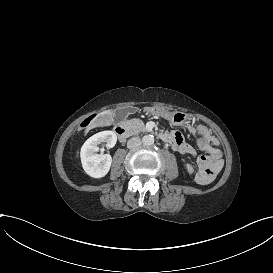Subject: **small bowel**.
I'll return each mask as SVG.
<instances>
[{"instance_id":"small-bowel-1","label":"small bowel","mask_w":273,"mask_h":273,"mask_svg":"<svg viewBox=\"0 0 273 273\" xmlns=\"http://www.w3.org/2000/svg\"><path fill=\"white\" fill-rule=\"evenodd\" d=\"M194 132L199 135L198 146L206 154L211 152H216L222 155L221 151L215 148V145L218 143L216 137L212 134L211 130L204 125H196L192 128ZM170 136V144H174L180 151L186 154L195 155L196 150L189 144L179 141L181 135L179 133H164ZM201 155L198 157V165L200 169V163L202 158L206 155ZM187 172L192 174L194 172V166L189 164L186 167ZM198 174V173H197Z\"/></svg>"}]
</instances>
